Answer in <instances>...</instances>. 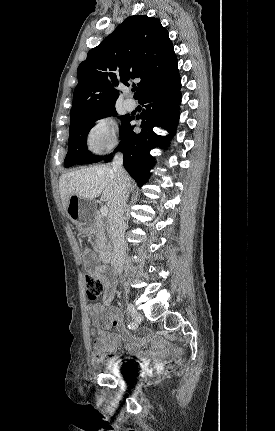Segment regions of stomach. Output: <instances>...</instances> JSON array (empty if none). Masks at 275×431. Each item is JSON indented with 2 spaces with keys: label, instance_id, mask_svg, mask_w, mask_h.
Listing matches in <instances>:
<instances>
[{
  "label": "stomach",
  "instance_id": "1",
  "mask_svg": "<svg viewBox=\"0 0 275 431\" xmlns=\"http://www.w3.org/2000/svg\"><path fill=\"white\" fill-rule=\"evenodd\" d=\"M93 209V203L91 200L82 199L76 195H72L69 198L66 213L80 232L88 233L93 228Z\"/></svg>",
  "mask_w": 275,
  "mask_h": 431
}]
</instances>
